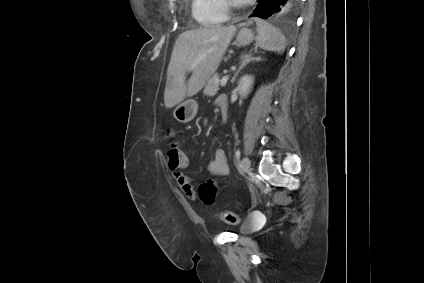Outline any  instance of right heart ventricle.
<instances>
[{
  "instance_id": "obj_1",
  "label": "right heart ventricle",
  "mask_w": 424,
  "mask_h": 283,
  "mask_svg": "<svg viewBox=\"0 0 424 283\" xmlns=\"http://www.w3.org/2000/svg\"><path fill=\"white\" fill-rule=\"evenodd\" d=\"M192 15L204 27L217 26L226 19L221 0H192Z\"/></svg>"
}]
</instances>
